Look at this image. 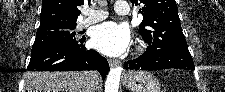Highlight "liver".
I'll use <instances>...</instances> for the list:
<instances>
[{
	"label": "liver",
	"mask_w": 225,
	"mask_h": 92,
	"mask_svg": "<svg viewBox=\"0 0 225 92\" xmlns=\"http://www.w3.org/2000/svg\"><path fill=\"white\" fill-rule=\"evenodd\" d=\"M24 92H97L100 77L95 71L28 72Z\"/></svg>",
	"instance_id": "liver-1"
}]
</instances>
